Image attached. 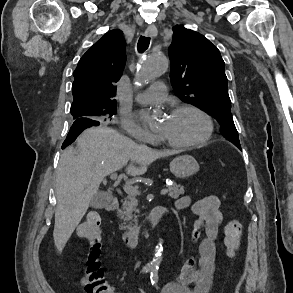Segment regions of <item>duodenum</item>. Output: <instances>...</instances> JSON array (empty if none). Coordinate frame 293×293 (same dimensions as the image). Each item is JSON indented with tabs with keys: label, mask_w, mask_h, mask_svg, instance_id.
Returning a JSON list of instances; mask_svg holds the SVG:
<instances>
[{
	"label": "duodenum",
	"mask_w": 293,
	"mask_h": 293,
	"mask_svg": "<svg viewBox=\"0 0 293 293\" xmlns=\"http://www.w3.org/2000/svg\"><path fill=\"white\" fill-rule=\"evenodd\" d=\"M119 205V198L112 197L109 204L107 205V209L109 211H117L119 209ZM169 212L170 209H168L167 207L157 206L151 210L143 227L129 228L122 224L121 237L125 245L130 249L135 248L139 242L142 232L154 228L160 222V220ZM118 217L120 218V214H118Z\"/></svg>",
	"instance_id": "duodenum-1"
}]
</instances>
